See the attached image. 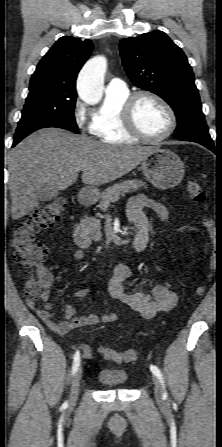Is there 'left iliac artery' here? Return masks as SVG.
Returning a JSON list of instances; mask_svg holds the SVG:
<instances>
[{
	"instance_id": "1",
	"label": "left iliac artery",
	"mask_w": 222,
	"mask_h": 447,
	"mask_svg": "<svg viewBox=\"0 0 222 447\" xmlns=\"http://www.w3.org/2000/svg\"><path fill=\"white\" fill-rule=\"evenodd\" d=\"M150 370H151L152 373H153V374L160 380V382H161V384L163 385V388H164L163 377H162V374H161L160 370L158 369V367L155 366V365H150ZM163 396H164V397H167V393H166V391H164Z\"/></svg>"
}]
</instances>
